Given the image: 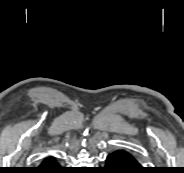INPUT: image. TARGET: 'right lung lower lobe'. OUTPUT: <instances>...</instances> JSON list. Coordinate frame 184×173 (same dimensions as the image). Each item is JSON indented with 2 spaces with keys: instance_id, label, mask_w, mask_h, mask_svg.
Wrapping results in <instances>:
<instances>
[{
  "instance_id": "obj_1",
  "label": "right lung lower lobe",
  "mask_w": 184,
  "mask_h": 173,
  "mask_svg": "<svg viewBox=\"0 0 184 173\" xmlns=\"http://www.w3.org/2000/svg\"><path fill=\"white\" fill-rule=\"evenodd\" d=\"M36 173H66L67 170L60 167L55 157L49 156L45 158L41 166L35 170Z\"/></svg>"
}]
</instances>
